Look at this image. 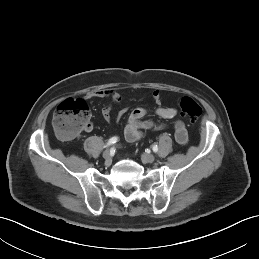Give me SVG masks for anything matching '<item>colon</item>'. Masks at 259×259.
I'll return each instance as SVG.
<instances>
[{
    "label": "colon",
    "instance_id": "colon-1",
    "mask_svg": "<svg viewBox=\"0 0 259 259\" xmlns=\"http://www.w3.org/2000/svg\"><path fill=\"white\" fill-rule=\"evenodd\" d=\"M181 114L192 123L201 115V107L191 97H182L179 101ZM53 128L64 138H74L91 123L88 104L83 99H67L56 109L53 117Z\"/></svg>",
    "mask_w": 259,
    "mask_h": 259
}]
</instances>
